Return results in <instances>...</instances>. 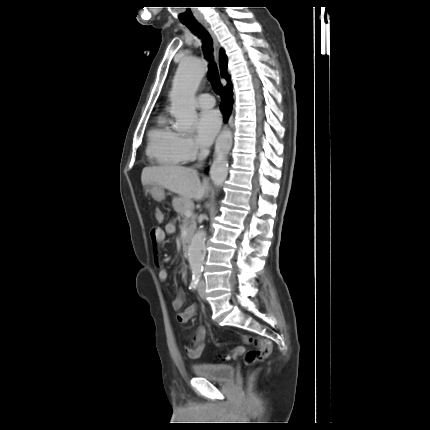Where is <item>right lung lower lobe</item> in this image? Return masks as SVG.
Listing matches in <instances>:
<instances>
[{"mask_svg":"<svg viewBox=\"0 0 430 430\" xmlns=\"http://www.w3.org/2000/svg\"><path fill=\"white\" fill-rule=\"evenodd\" d=\"M232 85L229 84L224 88L223 94H222V104H221V110L224 113L225 118L227 119L231 113L232 105H233V99H232Z\"/></svg>","mask_w":430,"mask_h":430,"instance_id":"obj_1","label":"right lung lower lobe"}]
</instances>
